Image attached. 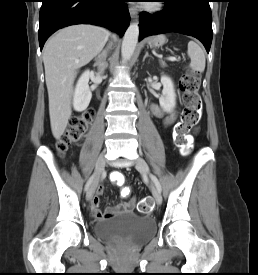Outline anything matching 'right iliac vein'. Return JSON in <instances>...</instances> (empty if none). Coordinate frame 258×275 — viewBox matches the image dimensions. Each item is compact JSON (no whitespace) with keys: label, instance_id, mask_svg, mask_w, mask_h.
Instances as JSON below:
<instances>
[{"label":"right iliac vein","instance_id":"obj_1","mask_svg":"<svg viewBox=\"0 0 258 275\" xmlns=\"http://www.w3.org/2000/svg\"><path fill=\"white\" fill-rule=\"evenodd\" d=\"M104 166H105V156H104V154H101L97 158V161H96V164H95L94 177H93V180H92V182H91V184L88 188L87 194H86L87 200L91 199V197L94 193L95 186L97 184L98 177L101 174L102 170L104 169Z\"/></svg>","mask_w":258,"mask_h":275}]
</instances>
